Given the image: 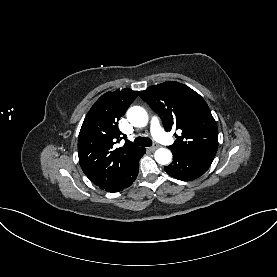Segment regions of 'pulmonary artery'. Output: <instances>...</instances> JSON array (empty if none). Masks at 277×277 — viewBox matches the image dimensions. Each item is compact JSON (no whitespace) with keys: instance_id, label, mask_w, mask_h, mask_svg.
Returning <instances> with one entry per match:
<instances>
[{"instance_id":"obj_1","label":"pulmonary artery","mask_w":277,"mask_h":277,"mask_svg":"<svg viewBox=\"0 0 277 277\" xmlns=\"http://www.w3.org/2000/svg\"><path fill=\"white\" fill-rule=\"evenodd\" d=\"M150 130L152 135L156 140L159 142L168 144L170 143V138L169 136L164 132L162 129L159 120L156 117H153L150 121Z\"/></svg>"}]
</instances>
